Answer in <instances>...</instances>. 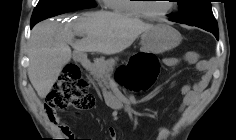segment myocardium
<instances>
[{
  "mask_svg": "<svg viewBox=\"0 0 236 140\" xmlns=\"http://www.w3.org/2000/svg\"><path fill=\"white\" fill-rule=\"evenodd\" d=\"M140 1H143V0H140ZM171 1H173V0H171ZM175 7H176L175 4L170 2V7L166 11L161 12V13H152L148 10L145 3L139 2L138 4H136V9L141 16L148 18V19H154V20L161 19V18L167 16L175 9Z\"/></svg>",
  "mask_w": 236,
  "mask_h": 140,
  "instance_id": "myocardium-1",
  "label": "myocardium"
}]
</instances>
